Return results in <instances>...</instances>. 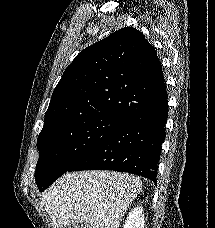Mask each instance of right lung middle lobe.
<instances>
[{"instance_id": "1", "label": "right lung middle lobe", "mask_w": 215, "mask_h": 228, "mask_svg": "<svg viewBox=\"0 0 215 228\" xmlns=\"http://www.w3.org/2000/svg\"><path fill=\"white\" fill-rule=\"evenodd\" d=\"M125 119L114 115L94 116L40 133L35 180L40 192L67 172L104 140Z\"/></svg>"}]
</instances>
